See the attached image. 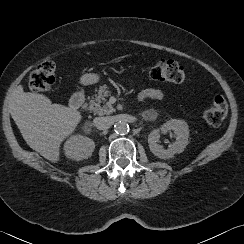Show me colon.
<instances>
[{
  "mask_svg": "<svg viewBox=\"0 0 244 244\" xmlns=\"http://www.w3.org/2000/svg\"><path fill=\"white\" fill-rule=\"evenodd\" d=\"M56 65L52 61L40 63L29 75V88L33 92H45L55 82ZM145 72L154 80L182 84L188 76L183 66L172 60L160 59L147 66ZM228 105L224 97L218 95L210 107L203 110V118L212 126L220 125L226 117Z\"/></svg>",
  "mask_w": 244,
  "mask_h": 244,
  "instance_id": "1",
  "label": "colon"
}]
</instances>
